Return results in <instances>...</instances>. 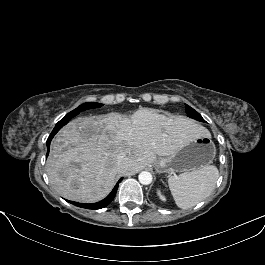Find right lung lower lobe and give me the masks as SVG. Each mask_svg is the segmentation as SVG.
I'll return each instance as SVG.
<instances>
[{
	"mask_svg": "<svg viewBox=\"0 0 265 265\" xmlns=\"http://www.w3.org/2000/svg\"><path fill=\"white\" fill-rule=\"evenodd\" d=\"M60 128L62 127H55L52 131V133L50 134V136L47 139V155L49 154V147H50V142L52 140V138L54 137V135L60 130ZM123 178H120V180L117 182V184L115 185L114 189L112 190V192L103 200L97 202V203H91V204H84V203H78V202H74V201H69L71 204L76 205L78 207H82V208H87V209H100V208H104L106 207L115 197V194L117 192L119 183L122 181Z\"/></svg>",
	"mask_w": 265,
	"mask_h": 265,
	"instance_id": "98d812e1",
	"label": "right lung lower lobe"
}]
</instances>
